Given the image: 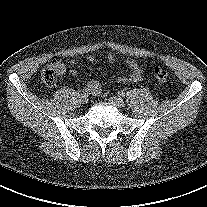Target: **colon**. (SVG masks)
<instances>
[{"mask_svg":"<svg viewBox=\"0 0 207 207\" xmlns=\"http://www.w3.org/2000/svg\"><path fill=\"white\" fill-rule=\"evenodd\" d=\"M61 72V63L54 60L42 70V80L46 85L52 86L56 83L57 77L61 75ZM154 76L159 82H165L168 73L164 69L157 67L154 69Z\"/></svg>","mask_w":207,"mask_h":207,"instance_id":"colon-1","label":"colon"}]
</instances>
